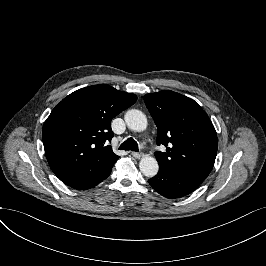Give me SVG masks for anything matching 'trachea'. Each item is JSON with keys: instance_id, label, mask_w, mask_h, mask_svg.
Instances as JSON below:
<instances>
[{"instance_id": "trachea-1", "label": "trachea", "mask_w": 266, "mask_h": 266, "mask_svg": "<svg viewBox=\"0 0 266 266\" xmlns=\"http://www.w3.org/2000/svg\"><path fill=\"white\" fill-rule=\"evenodd\" d=\"M120 150H131L134 152H138L137 142L133 138H128L124 143L119 147Z\"/></svg>"}]
</instances>
